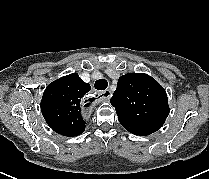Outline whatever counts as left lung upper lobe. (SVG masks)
Listing matches in <instances>:
<instances>
[{"label":"left lung upper lobe","mask_w":209,"mask_h":179,"mask_svg":"<svg viewBox=\"0 0 209 179\" xmlns=\"http://www.w3.org/2000/svg\"><path fill=\"white\" fill-rule=\"evenodd\" d=\"M110 102L115 107L121 124L148 134L161 128L170 111L164 88L143 73L121 76Z\"/></svg>","instance_id":"1"}]
</instances>
